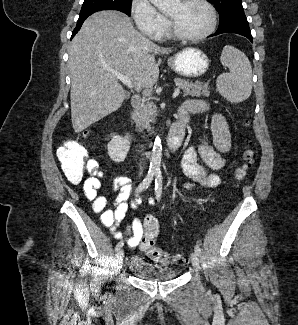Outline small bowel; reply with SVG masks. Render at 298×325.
Segmentation results:
<instances>
[{
	"mask_svg": "<svg viewBox=\"0 0 298 325\" xmlns=\"http://www.w3.org/2000/svg\"><path fill=\"white\" fill-rule=\"evenodd\" d=\"M195 103V102H189ZM201 110L205 109V104L195 103ZM213 146L204 142L197 152L193 148H189L184 153L181 166L184 174L191 179L188 186L216 187L220 184V177L217 173H209L208 169L214 171L220 170L224 166V159L221 153H225L231 148V134L229 126L220 113H215L211 123ZM200 156L201 160H199ZM103 172L98 168L89 174L83 183V195L92 202V209L95 213H100L101 223L109 228L117 239L122 238V233L118 231V226L125 218L128 211V199L131 194V181L126 176H118L113 181V191L116 196L113 200L112 207H108L106 197L98 195V191L102 187L101 179ZM141 203L140 198H136L132 202V207H136ZM154 203V200H151ZM131 234L128 244L135 247L139 244L143 235V228L139 219H134L129 227Z\"/></svg>",
	"mask_w": 298,
	"mask_h": 325,
	"instance_id": "small-bowel-1",
	"label": "small bowel"
}]
</instances>
